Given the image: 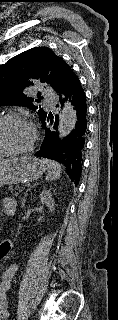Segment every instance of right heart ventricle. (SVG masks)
Wrapping results in <instances>:
<instances>
[{
	"instance_id": "1",
	"label": "right heart ventricle",
	"mask_w": 118,
	"mask_h": 320,
	"mask_svg": "<svg viewBox=\"0 0 118 320\" xmlns=\"http://www.w3.org/2000/svg\"><path fill=\"white\" fill-rule=\"evenodd\" d=\"M2 156H3V153L0 152V157H2Z\"/></svg>"
}]
</instances>
